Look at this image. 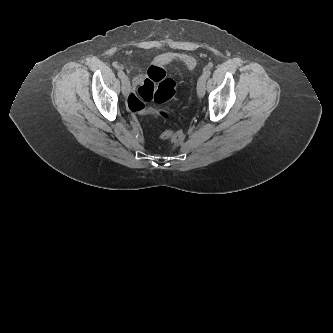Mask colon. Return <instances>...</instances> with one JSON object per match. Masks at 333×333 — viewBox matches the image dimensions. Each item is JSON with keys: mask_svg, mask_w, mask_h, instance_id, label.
<instances>
[{"mask_svg": "<svg viewBox=\"0 0 333 333\" xmlns=\"http://www.w3.org/2000/svg\"><path fill=\"white\" fill-rule=\"evenodd\" d=\"M151 82L154 83V81ZM151 82L147 80L138 89L139 95L142 97L143 100H152L156 103L164 104L174 97L177 87L175 81L168 79L164 84H159L157 90L154 89V86ZM127 105L132 112L152 113L160 116L165 115V112L163 110H146L145 105L134 95L129 97ZM164 136L174 141H178L182 138L183 134L179 130H167L164 132Z\"/></svg>", "mask_w": 333, "mask_h": 333, "instance_id": "5ec220e1", "label": "colon"}]
</instances>
